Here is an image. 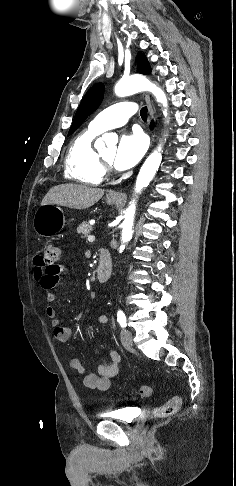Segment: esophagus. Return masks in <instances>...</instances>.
Instances as JSON below:
<instances>
[{"label": "esophagus", "mask_w": 236, "mask_h": 486, "mask_svg": "<svg viewBox=\"0 0 236 486\" xmlns=\"http://www.w3.org/2000/svg\"><path fill=\"white\" fill-rule=\"evenodd\" d=\"M145 99H146V102H147V105H148L149 118L152 119L153 118V115H154V111H153V107H152L151 100H150V98H149L148 95L145 96ZM108 196L109 197H119L120 194L118 192H115V191H110L108 193Z\"/></svg>", "instance_id": "1"}]
</instances>
